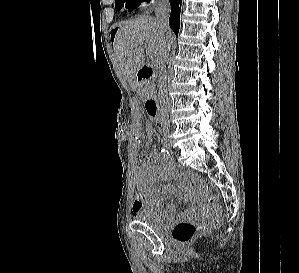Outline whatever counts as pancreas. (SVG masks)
<instances>
[{
    "mask_svg": "<svg viewBox=\"0 0 299 273\" xmlns=\"http://www.w3.org/2000/svg\"><path fill=\"white\" fill-rule=\"evenodd\" d=\"M138 91H139L140 94H145L146 93V90H144L143 88H139Z\"/></svg>",
    "mask_w": 299,
    "mask_h": 273,
    "instance_id": "pancreas-1",
    "label": "pancreas"
}]
</instances>
